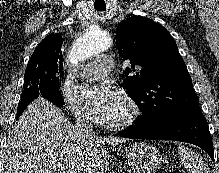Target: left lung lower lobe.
Listing matches in <instances>:
<instances>
[{"mask_svg":"<svg viewBox=\"0 0 219 173\" xmlns=\"http://www.w3.org/2000/svg\"><path fill=\"white\" fill-rule=\"evenodd\" d=\"M119 135L131 139L176 140L191 143L204 149L214 161L212 138L199 106L182 109L152 126L134 124L119 132Z\"/></svg>","mask_w":219,"mask_h":173,"instance_id":"obj_1","label":"left lung lower lobe"}]
</instances>
